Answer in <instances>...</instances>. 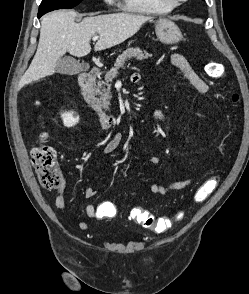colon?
I'll return each instance as SVG.
<instances>
[{
	"label": "colon",
	"instance_id": "colon-1",
	"mask_svg": "<svg viewBox=\"0 0 249 294\" xmlns=\"http://www.w3.org/2000/svg\"><path fill=\"white\" fill-rule=\"evenodd\" d=\"M204 69L207 75L212 78H221L224 76L223 68L215 62L207 63ZM231 101L232 103H237L239 101V96L236 93L232 94ZM46 137V134H40L38 136V144L31 151L32 163L37 179L42 187L51 190L60 189L65 185V177L56 164L55 150L51 146L45 144ZM218 183L219 178L217 176H212L207 179L195 192L194 201L197 203L204 201L214 192ZM113 211V209H109L110 213H113ZM130 217L144 228L156 232H164L168 230L174 222L183 218V212H178L172 218L155 217L148 211L136 207L131 210Z\"/></svg>",
	"mask_w": 249,
	"mask_h": 294
}]
</instances>
